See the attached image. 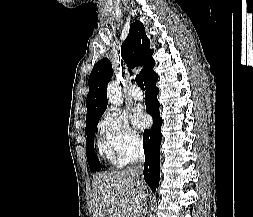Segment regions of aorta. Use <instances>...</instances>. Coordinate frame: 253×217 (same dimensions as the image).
I'll return each mask as SVG.
<instances>
[{"instance_id":"aorta-1","label":"aorta","mask_w":253,"mask_h":217,"mask_svg":"<svg viewBox=\"0 0 253 217\" xmlns=\"http://www.w3.org/2000/svg\"><path fill=\"white\" fill-rule=\"evenodd\" d=\"M107 97L111 104L120 106L123 103L121 87L117 82H110L107 87Z\"/></svg>"}]
</instances>
